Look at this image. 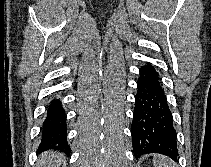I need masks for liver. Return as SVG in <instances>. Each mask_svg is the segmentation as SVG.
I'll use <instances>...</instances> for the list:
<instances>
[{
  "instance_id": "1",
  "label": "liver",
  "mask_w": 211,
  "mask_h": 167,
  "mask_svg": "<svg viewBox=\"0 0 211 167\" xmlns=\"http://www.w3.org/2000/svg\"><path fill=\"white\" fill-rule=\"evenodd\" d=\"M62 161V154L50 151L41 155L36 167H59Z\"/></svg>"
}]
</instances>
